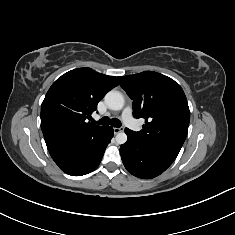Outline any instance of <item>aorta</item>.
I'll return each instance as SVG.
<instances>
[{
	"label": "aorta",
	"mask_w": 235,
	"mask_h": 235,
	"mask_svg": "<svg viewBox=\"0 0 235 235\" xmlns=\"http://www.w3.org/2000/svg\"><path fill=\"white\" fill-rule=\"evenodd\" d=\"M105 104L111 110H121L124 106V98L119 91L111 90L105 95ZM116 142L118 144H124L127 141V135L124 132H119L116 135Z\"/></svg>",
	"instance_id": "1"
}]
</instances>
